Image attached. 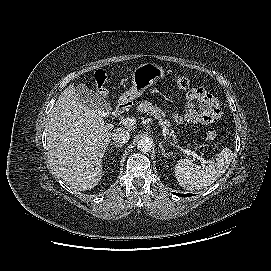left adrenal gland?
Here are the masks:
<instances>
[{
	"instance_id": "a2214340",
	"label": "left adrenal gland",
	"mask_w": 271,
	"mask_h": 271,
	"mask_svg": "<svg viewBox=\"0 0 271 271\" xmlns=\"http://www.w3.org/2000/svg\"><path fill=\"white\" fill-rule=\"evenodd\" d=\"M159 147H160V149H161L162 155H163L164 157L168 158L167 155H169L170 152H169V153H166V152H165V149H164L162 143H159Z\"/></svg>"
}]
</instances>
